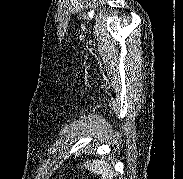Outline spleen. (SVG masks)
<instances>
[{"mask_svg":"<svg viewBox=\"0 0 183 179\" xmlns=\"http://www.w3.org/2000/svg\"><path fill=\"white\" fill-rule=\"evenodd\" d=\"M85 167L90 172L101 175V179H114V171L108 162L103 159L87 160Z\"/></svg>","mask_w":183,"mask_h":179,"instance_id":"3e777b00","label":"spleen"}]
</instances>
